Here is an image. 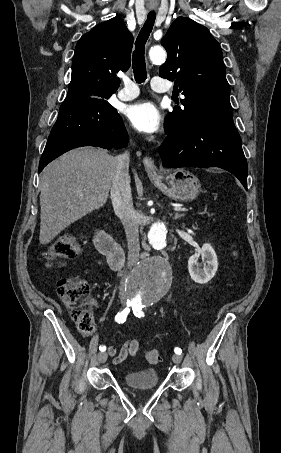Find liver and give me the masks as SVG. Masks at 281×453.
I'll list each match as a JSON object with an SVG mask.
<instances>
[{
    "label": "liver",
    "instance_id": "obj_1",
    "mask_svg": "<svg viewBox=\"0 0 281 453\" xmlns=\"http://www.w3.org/2000/svg\"><path fill=\"white\" fill-rule=\"evenodd\" d=\"M117 162L105 148L80 146L45 166L41 174L40 235L48 245L69 224L109 198Z\"/></svg>",
    "mask_w": 281,
    "mask_h": 453
}]
</instances>
